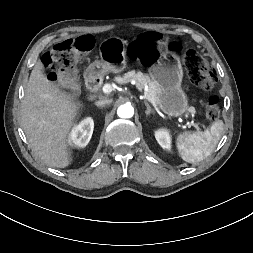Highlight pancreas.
Listing matches in <instances>:
<instances>
[{
	"label": "pancreas",
	"mask_w": 253,
	"mask_h": 253,
	"mask_svg": "<svg viewBox=\"0 0 253 253\" xmlns=\"http://www.w3.org/2000/svg\"><path fill=\"white\" fill-rule=\"evenodd\" d=\"M115 81L119 84L135 81L139 90H142L145 86H147V90H145L146 95L152 98L156 104L160 105V95L162 94V90L148 75L141 72L131 71L125 73L123 76L116 77Z\"/></svg>",
	"instance_id": "cf45deb5"
}]
</instances>
